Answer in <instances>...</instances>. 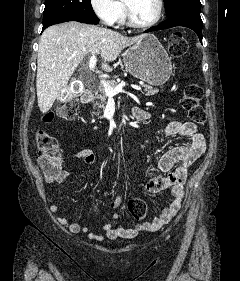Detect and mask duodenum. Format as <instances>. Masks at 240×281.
I'll list each match as a JSON object with an SVG mask.
<instances>
[{"label": "duodenum", "mask_w": 240, "mask_h": 281, "mask_svg": "<svg viewBox=\"0 0 240 281\" xmlns=\"http://www.w3.org/2000/svg\"><path fill=\"white\" fill-rule=\"evenodd\" d=\"M92 99H93V94L91 92H85L81 97V102L83 104H88L92 101ZM131 115L135 119H141L142 118L141 110L138 109V108L132 109Z\"/></svg>", "instance_id": "410a0bca"}]
</instances>
